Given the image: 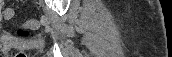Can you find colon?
I'll list each match as a JSON object with an SVG mask.
<instances>
[{"instance_id":"colon-1","label":"colon","mask_w":172,"mask_h":57,"mask_svg":"<svg viewBox=\"0 0 172 57\" xmlns=\"http://www.w3.org/2000/svg\"><path fill=\"white\" fill-rule=\"evenodd\" d=\"M3 16L6 19H12L15 16V10L12 8H7L3 11ZM37 27V21H28L18 27L17 34L21 38L28 37L31 30L36 29ZM15 57H26V53L23 50H19L16 52Z\"/></svg>"}]
</instances>
